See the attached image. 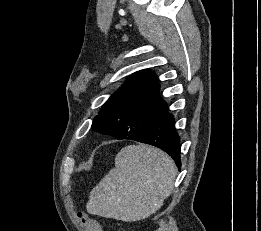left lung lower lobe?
Returning <instances> with one entry per match:
<instances>
[{
    "instance_id": "1",
    "label": "left lung lower lobe",
    "mask_w": 261,
    "mask_h": 231,
    "mask_svg": "<svg viewBox=\"0 0 261 231\" xmlns=\"http://www.w3.org/2000/svg\"><path fill=\"white\" fill-rule=\"evenodd\" d=\"M119 139H131L156 146L169 154L178 167L181 166L180 138L174 128V117L168 113L167 109L150 124L140 137Z\"/></svg>"
}]
</instances>
